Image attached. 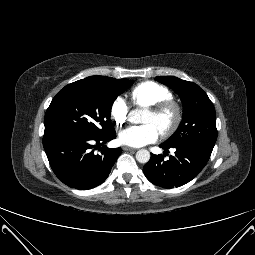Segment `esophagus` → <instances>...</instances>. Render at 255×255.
Segmentation results:
<instances>
[{"mask_svg":"<svg viewBox=\"0 0 255 255\" xmlns=\"http://www.w3.org/2000/svg\"><path fill=\"white\" fill-rule=\"evenodd\" d=\"M122 149L124 151H135L136 149L132 148V147H128V146H123Z\"/></svg>","mask_w":255,"mask_h":255,"instance_id":"obj_1","label":"esophagus"}]
</instances>
